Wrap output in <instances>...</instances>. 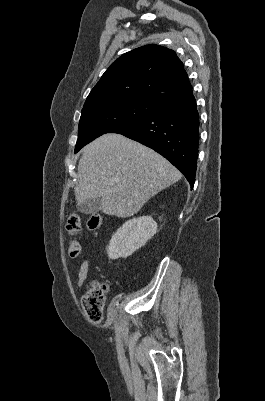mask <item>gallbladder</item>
<instances>
[{
	"label": "gallbladder",
	"mask_w": 265,
	"mask_h": 401,
	"mask_svg": "<svg viewBox=\"0 0 265 401\" xmlns=\"http://www.w3.org/2000/svg\"><path fill=\"white\" fill-rule=\"evenodd\" d=\"M102 207V196H97V198H88V201L84 203H77L76 209L80 213H85V215H97Z\"/></svg>",
	"instance_id": "1"
}]
</instances>
